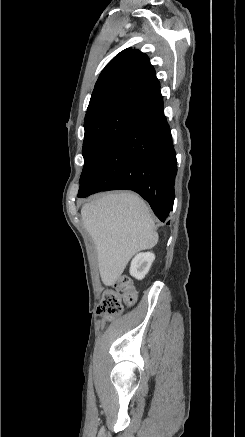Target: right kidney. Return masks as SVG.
Returning a JSON list of instances; mask_svg holds the SVG:
<instances>
[{
  "label": "right kidney",
  "mask_w": 245,
  "mask_h": 437,
  "mask_svg": "<svg viewBox=\"0 0 245 437\" xmlns=\"http://www.w3.org/2000/svg\"><path fill=\"white\" fill-rule=\"evenodd\" d=\"M155 255L151 252L137 254L131 262L130 274L138 280H142L149 272Z\"/></svg>",
  "instance_id": "ca27d5eb"
}]
</instances>
